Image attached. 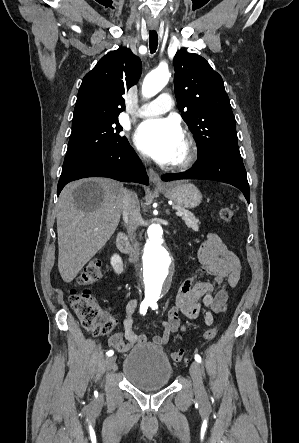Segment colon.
<instances>
[{"label": "colon", "instance_id": "colon-1", "mask_svg": "<svg viewBox=\"0 0 299 443\" xmlns=\"http://www.w3.org/2000/svg\"><path fill=\"white\" fill-rule=\"evenodd\" d=\"M233 210L230 207H223L219 211V216L224 222H230L233 218ZM102 279L101 262L97 259L88 261L77 278V287L71 290L69 303L82 326L95 336L108 335L115 324L114 319L106 312L102 311L89 286ZM217 333V327L212 326L204 332L206 340H212ZM171 358L175 362L186 360L185 350L180 349L172 352Z\"/></svg>", "mask_w": 299, "mask_h": 443}]
</instances>
